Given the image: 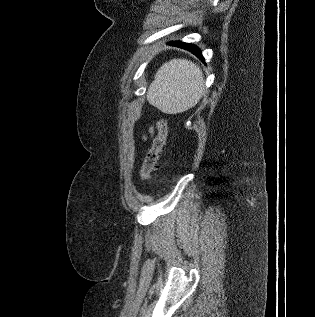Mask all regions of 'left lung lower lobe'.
Returning <instances> with one entry per match:
<instances>
[{
  "label": "left lung lower lobe",
  "instance_id": "obj_1",
  "mask_svg": "<svg viewBox=\"0 0 315 317\" xmlns=\"http://www.w3.org/2000/svg\"><path fill=\"white\" fill-rule=\"evenodd\" d=\"M170 44L181 47L183 49H186V50L190 51L191 53H193L195 56H197L199 59L204 61V58L202 56V52L197 46H195L191 43H185V42H181V41H174V42H171Z\"/></svg>",
  "mask_w": 315,
  "mask_h": 317
}]
</instances>
